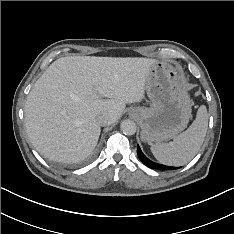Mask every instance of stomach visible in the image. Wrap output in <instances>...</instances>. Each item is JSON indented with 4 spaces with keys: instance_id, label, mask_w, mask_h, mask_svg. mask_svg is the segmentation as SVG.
I'll return each instance as SVG.
<instances>
[{
    "instance_id": "0dacf381",
    "label": "stomach",
    "mask_w": 234,
    "mask_h": 234,
    "mask_svg": "<svg viewBox=\"0 0 234 234\" xmlns=\"http://www.w3.org/2000/svg\"><path fill=\"white\" fill-rule=\"evenodd\" d=\"M150 108H133L141 139L161 143L183 131L191 117V103L178 72L167 62L155 61L146 78Z\"/></svg>"
}]
</instances>
